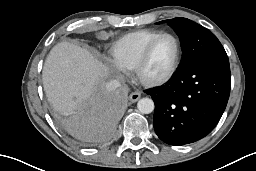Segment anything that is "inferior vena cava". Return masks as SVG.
Masks as SVG:
<instances>
[{
    "mask_svg": "<svg viewBox=\"0 0 256 171\" xmlns=\"http://www.w3.org/2000/svg\"><path fill=\"white\" fill-rule=\"evenodd\" d=\"M120 85H121L120 82L114 79L106 83L105 87L108 91H115L118 87H120Z\"/></svg>",
    "mask_w": 256,
    "mask_h": 171,
    "instance_id": "602c4592",
    "label": "inferior vena cava"
}]
</instances>
